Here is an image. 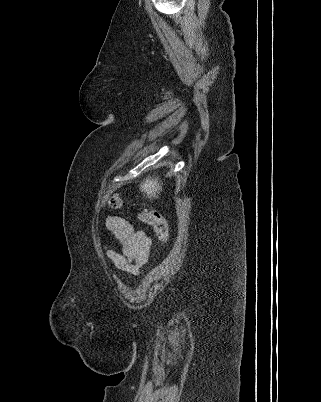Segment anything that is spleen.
<instances>
[{"mask_svg":"<svg viewBox=\"0 0 321 402\" xmlns=\"http://www.w3.org/2000/svg\"><path fill=\"white\" fill-rule=\"evenodd\" d=\"M162 189L161 183L158 178H146L140 185V190L147 194L148 198L156 197V193H159Z\"/></svg>","mask_w":321,"mask_h":402,"instance_id":"1","label":"spleen"}]
</instances>
